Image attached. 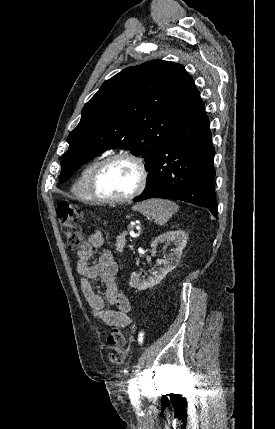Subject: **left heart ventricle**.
<instances>
[{"mask_svg":"<svg viewBox=\"0 0 275 429\" xmlns=\"http://www.w3.org/2000/svg\"><path fill=\"white\" fill-rule=\"evenodd\" d=\"M137 182L136 166L127 160H116L101 171L97 180V191L105 198H119L132 192Z\"/></svg>","mask_w":275,"mask_h":429,"instance_id":"left-heart-ventricle-1","label":"left heart ventricle"}]
</instances>
